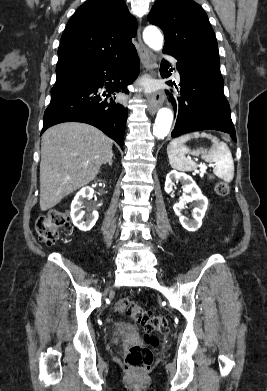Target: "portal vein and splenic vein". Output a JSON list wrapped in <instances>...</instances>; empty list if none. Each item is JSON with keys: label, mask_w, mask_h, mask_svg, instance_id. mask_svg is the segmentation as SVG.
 I'll list each match as a JSON object with an SVG mask.
<instances>
[{"label": "portal vein and splenic vein", "mask_w": 267, "mask_h": 391, "mask_svg": "<svg viewBox=\"0 0 267 391\" xmlns=\"http://www.w3.org/2000/svg\"><path fill=\"white\" fill-rule=\"evenodd\" d=\"M196 161L198 160V159H195ZM210 166H214L213 164H210Z\"/></svg>", "instance_id": "portal-vein-and-splenic-vein-1"}]
</instances>
